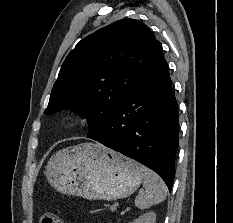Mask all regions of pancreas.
Segmentation results:
<instances>
[{
  "label": "pancreas",
  "mask_w": 233,
  "mask_h": 223,
  "mask_svg": "<svg viewBox=\"0 0 233 223\" xmlns=\"http://www.w3.org/2000/svg\"><path fill=\"white\" fill-rule=\"evenodd\" d=\"M111 209H112V211H114V209H115L114 205H111Z\"/></svg>",
  "instance_id": "cf45deb5"
}]
</instances>
